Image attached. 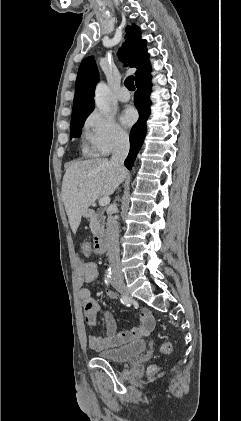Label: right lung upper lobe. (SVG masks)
Listing matches in <instances>:
<instances>
[{
  "mask_svg": "<svg viewBox=\"0 0 241 421\" xmlns=\"http://www.w3.org/2000/svg\"><path fill=\"white\" fill-rule=\"evenodd\" d=\"M126 42L119 51L120 59L126 66L136 67L135 78L149 64L146 41L141 40V32L135 24L126 28ZM98 82V71L92 57L85 58L80 64L75 82L72 118L89 115L94 109V90Z\"/></svg>",
  "mask_w": 241,
  "mask_h": 421,
  "instance_id": "obj_1",
  "label": "right lung upper lobe"
}]
</instances>
